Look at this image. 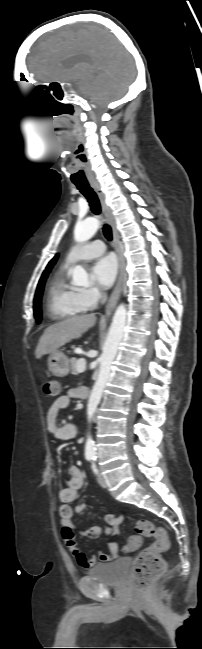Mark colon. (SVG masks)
Instances as JSON below:
<instances>
[{
    "mask_svg": "<svg viewBox=\"0 0 202 649\" xmlns=\"http://www.w3.org/2000/svg\"><path fill=\"white\" fill-rule=\"evenodd\" d=\"M46 396L56 397L60 394V383L55 379H47L42 384ZM136 535L131 539L129 547H134L140 537H152L150 547L142 550L135 558L132 567V581L138 591H144L164 571V561L161 556L169 547L167 531L149 520H139L135 524Z\"/></svg>",
    "mask_w": 202,
    "mask_h": 649,
    "instance_id": "5ec220e1",
    "label": "colon"
}]
</instances>
